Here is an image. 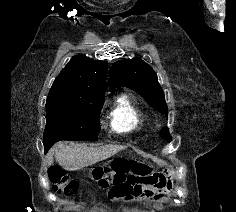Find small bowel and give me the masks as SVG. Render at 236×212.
<instances>
[{"mask_svg":"<svg viewBox=\"0 0 236 212\" xmlns=\"http://www.w3.org/2000/svg\"><path fill=\"white\" fill-rule=\"evenodd\" d=\"M169 192L170 180L165 173L118 175L114 187L108 190L110 197H107V202H136L141 197L149 202H158Z\"/></svg>","mask_w":236,"mask_h":212,"instance_id":"small-bowel-1","label":"small bowel"}]
</instances>
